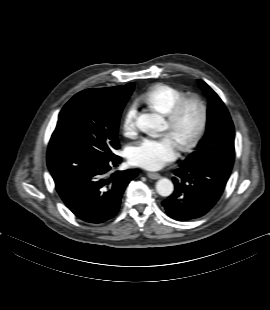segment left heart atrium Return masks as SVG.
<instances>
[{"mask_svg":"<svg viewBox=\"0 0 270 310\" xmlns=\"http://www.w3.org/2000/svg\"><path fill=\"white\" fill-rule=\"evenodd\" d=\"M179 152L176 140L169 134L160 138L144 139L131 147L128 158L131 164L146 170H157L174 161Z\"/></svg>","mask_w":270,"mask_h":310,"instance_id":"left-heart-atrium-1","label":"left heart atrium"}]
</instances>
